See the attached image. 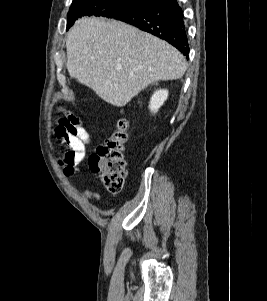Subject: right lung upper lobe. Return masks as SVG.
<instances>
[{
    "mask_svg": "<svg viewBox=\"0 0 267 301\" xmlns=\"http://www.w3.org/2000/svg\"><path fill=\"white\" fill-rule=\"evenodd\" d=\"M145 1V3H152V2H154V1H156V0H144Z\"/></svg>",
    "mask_w": 267,
    "mask_h": 301,
    "instance_id": "cb5924a9",
    "label": "right lung upper lobe"
}]
</instances>
